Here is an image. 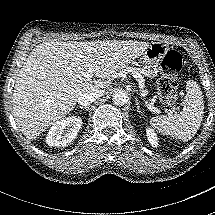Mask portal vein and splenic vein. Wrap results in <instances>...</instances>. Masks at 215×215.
I'll return each mask as SVG.
<instances>
[{
  "instance_id": "portal-vein-and-splenic-vein-1",
  "label": "portal vein and splenic vein",
  "mask_w": 215,
  "mask_h": 215,
  "mask_svg": "<svg viewBox=\"0 0 215 215\" xmlns=\"http://www.w3.org/2000/svg\"><path fill=\"white\" fill-rule=\"evenodd\" d=\"M95 71H96V68L91 66V67L88 68L87 72H85V73L83 74V77L86 78V79H88V80H91L92 77H93V73H94ZM132 76H133L135 79L138 80L139 86H140V87H143V85H144V83H143L144 80L140 78V75H139V74H133ZM147 108H148L151 112H154V113H160V112H161L160 109L154 107L153 103L147 104Z\"/></svg>"
}]
</instances>
